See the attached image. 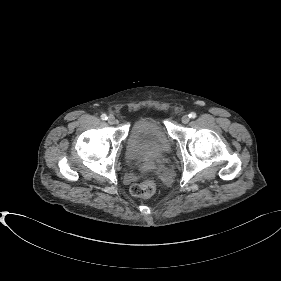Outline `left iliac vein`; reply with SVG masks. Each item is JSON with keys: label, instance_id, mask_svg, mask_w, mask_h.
<instances>
[{"label": "left iliac vein", "instance_id": "1", "mask_svg": "<svg viewBox=\"0 0 281 281\" xmlns=\"http://www.w3.org/2000/svg\"><path fill=\"white\" fill-rule=\"evenodd\" d=\"M190 118L188 115H183L182 118H181V122L183 124H187L189 122Z\"/></svg>", "mask_w": 281, "mask_h": 281}]
</instances>
